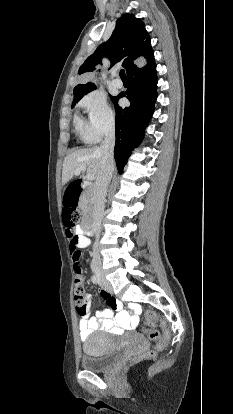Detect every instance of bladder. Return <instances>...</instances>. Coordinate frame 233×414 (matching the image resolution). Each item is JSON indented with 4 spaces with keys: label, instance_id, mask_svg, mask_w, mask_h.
I'll return each instance as SVG.
<instances>
[{
    "label": "bladder",
    "instance_id": "obj_1",
    "mask_svg": "<svg viewBox=\"0 0 233 414\" xmlns=\"http://www.w3.org/2000/svg\"><path fill=\"white\" fill-rule=\"evenodd\" d=\"M142 342V339L137 336ZM84 354L80 359L81 368L90 372H103L110 369L120 357V351L115 347L107 334L94 333L85 340Z\"/></svg>",
    "mask_w": 233,
    "mask_h": 414
}]
</instances>
